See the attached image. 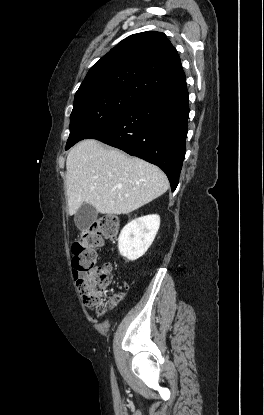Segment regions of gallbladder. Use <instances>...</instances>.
Here are the masks:
<instances>
[{"mask_svg": "<svg viewBox=\"0 0 264 415\" xmlns=\"http://www.w3.org/2000/svg\"><path fill=\"white\" fill-rule=\"evenodd\" d=\"M97 210L90 204L84 203L77 210L74 221L80 231H86L88 227L96 220Z\"/></svg>", "mask_w": 264, "mask_h": 415, "instance_id": "bac80fb5", "label": "gallbladder"}]
</instances>
